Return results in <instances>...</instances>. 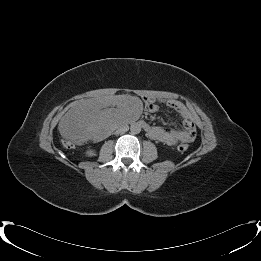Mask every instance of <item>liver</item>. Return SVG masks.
<instances>
[{
	"label": "liver",
	"instance_id": "6515ba94",
	"mask_svg": "<svg viewBox=\"0 0 261 261\" xmlns=\"http://www.w3.org/2000/svg\"><path fill=\"white\" fill-rule=\"evenodd\" d=\"M138 97H99L79 101L59 123L61 135L74 143L96 138L114 124L132 122L139 115Z\"/></svg>",
	"mask_w": 261,
	"mask_h": 261
}]
</instances>
